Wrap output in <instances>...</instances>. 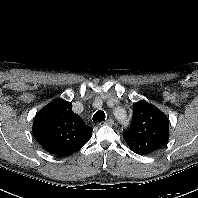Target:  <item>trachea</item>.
I'll return each mask as SVG.
<instances>
[{
    "instance_id": "1",
    "label": "trachea",
    "mask_w": 198,
    "mask_h": 198,
    "mask_svg": "<svg viewBox=\"0 0 198 198\" xmlns=\"http://www.w3.org/2000/svg\"><path fill=\"white\" fill-rule=\"evenodd\" d=\"M105 118H106V115L104 111L99 110L93 115L92 119L94 122H101V121H105Z\"/></svg>"
}]
</instances>
